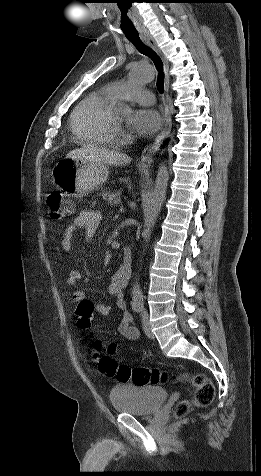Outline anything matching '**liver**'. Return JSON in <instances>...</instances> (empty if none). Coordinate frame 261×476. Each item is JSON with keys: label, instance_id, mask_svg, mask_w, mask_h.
Wrapping results in <instances>:
<instances>
[{"label": "liver", "instance_id": "1", "mask_svg": "<svg viewBox=\"0 0 261 476\" xmlns=\"http://www.w3.org/2000/svg\"><path fill=\"white\" fill-rule=\"evenodd\" d=\"M66 158L86 159L93 162L103 163L113 166H122L131 162V158L126 154L117 151L100 148L94 145H87L70 151Z\"/></svg>", "mask_w": 261, "mask_h": 476}]
</instances>
